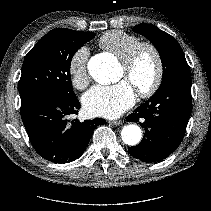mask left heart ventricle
Segmentation results:
<instances>
[{
	"label": "left heart ventricle",
	"mask_w": 211,
	"mask_h": 211,
	"mask_svg": "<svg viewBox=\"0 0 211 211\" xmlns=\"http://www.w3.org/2000/svg\"><path fill=\"white\" fill-rule=\"evenodd\" d=\"M155 60L149 50H143L129 71L121 66L120 78L129 81L136 89L147 87L155 74Z\"/></svg>",
	"instance_id": "left-heart-ventricle-1"
}]
</instances>
